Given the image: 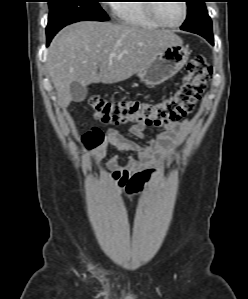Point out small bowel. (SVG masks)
Segmentation results:
<instances>
[{"label": "small bowel", "mask_w": 248, "mask_h": 299, "mask_svg": "<svg viewBox=\"0 0 248 299\" xmlns=\"http://www.w3.org/2000/svg\"><path fill=\"white\" fill-rule=\"evenodd\" d=\"M192 122H169L156 131L154 138L149 140L148 145L140 146L130 138L125 137L114 128L106 132L98 128H92L83 136V143L91 149V155L95 157L94 165L99 163L108 148L113 147L121 152L137 154L141 161L132 158L126 166H119L115 157L107 161V170H97L99 177L105 179L111 177L117 188H122L127 181L128 175L141 165L153 166L159 163H167L168 155L175 151L181 138L188 133ZM150 126L143 122L131 125L130 132L137 138H146Z\"/></svg>", "instance_id": "c3829d8e"}]
</instances>
